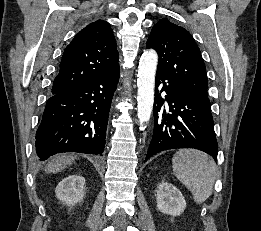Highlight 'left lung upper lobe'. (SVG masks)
Returning <instances> with one entry per match:
<instances>
[{
    "mask_svg": "<svg viewBox=\"0 0 261 231\" xmlns=\"http://www.w3.org/2000/svg\"><path fill=\"white\" fill-rule=\"evenodd\" d=\"M146 47L158 53L157 71L167 75L190 98L210 104L205 64L187 30L162 19L153 26Z\"/></svg>",
    "mask_w": 261,
    "mask_h": 231,
    "instance_id": "left-lung-upper-lobe-1",
    "label": "left lung upper lobe"
}]
</instances>
